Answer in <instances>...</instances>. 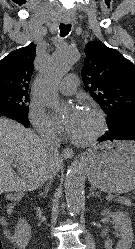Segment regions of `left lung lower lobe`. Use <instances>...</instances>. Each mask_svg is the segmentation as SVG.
<instances>
[{
  "label": "left lung lower lobe",
  "mask_w": 135,
  "mask_h": 249,
  "mask_svg": "<svg viewBox=\"0 0 135 249\" xmlns=\"http://www.w3.org/2000/svg\"><path fill=\"white\" fill-rule=\"evenodd\" d=\"M107 140H134L135 141V112H127L122 120L99 138V142Z\"/></svg>",
  "instance_id": "obj_1"
}]
</instances>
